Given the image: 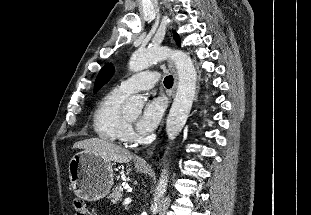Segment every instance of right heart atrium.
<instances>
[{
    "instance_id": "obj_1",
    "label": "right heart atrium",
    "mask_w": 311,
    "mask_h": 215,
    "mask_svg": "<svg viewBox=\"0 0 311 215\" xmlns=\"http://www.w3.org/2000/svg\"><path fill=\"white\" fill-rule=\"evenodd\" d=\"M125 137L126 139H132L134 137V132L132 130V127L129 124H127V127H126Z\"/></svg>"
}]
</instances>
